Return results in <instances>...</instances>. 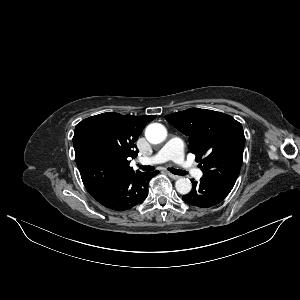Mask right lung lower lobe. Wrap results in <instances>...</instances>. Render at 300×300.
<instances>
[{
  "instance_id": "obj_1",
  "label": "right lung lower lobe",
  "mask_w": 300,
  "mask_h": 300,
  "mask_svg": "<svg viewBox=\"0 0 300 300\" xmlns=\"http://www.w3.org/2000/svg\"><path fill=\"white\" fill-rule=\"evenodd\" d=\"M157 173L158 171L153 173L136 171L86 189L104 207L114 211H125L146 199L148 183Z\"/></svg>"
}]
</instances>
